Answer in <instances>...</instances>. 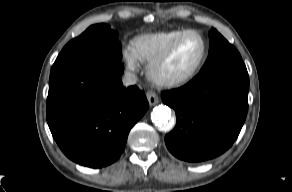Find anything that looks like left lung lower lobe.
<instances>
[{
	"mask_svg": "<svg viewBox=\"0 0 292 192\" xmlns=\"http://www.w3.org/2000/svg\"><path fill=\"white\" fill-rule=\"evenodd\" d=\"M249 77L244 66L199 73L181 88L164 91L162 100L177 123L165 136L168 150L188 162L215 158L237 139L248 109Z\"/></svg>",
	"mask_w": 292,
	"mask_h": 192,
	"instance_id": "obj_1",
	"label": "left lung lower lobe"
}]
</instances>
